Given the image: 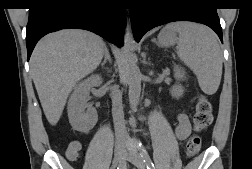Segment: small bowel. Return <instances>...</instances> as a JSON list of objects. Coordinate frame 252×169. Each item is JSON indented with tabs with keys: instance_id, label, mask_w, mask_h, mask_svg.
Listing matches in <instances>:
<instances>
[{
	"instance_id": "obj_1",
	"label": "small bowel",
	"mask_w": 252,
	"mask_h": 169,
	"mask_svg": "<svg viewBox=\"0 0 252 169\" xmlns=\"http://www.w3.org/2000/svg\"><path fill=\"white\" fill-rule=\"evenodd\" d=\"M177 121H178V124H177L176 130H175L176 136L179 140H184L191 133V128H190L188 117L185 114H179L177 117ZM70 149H75L76 153L78 154V152L81 149L80 142L72 141L68 146L67 152Z\"/></svg>"
}]
</instances>
